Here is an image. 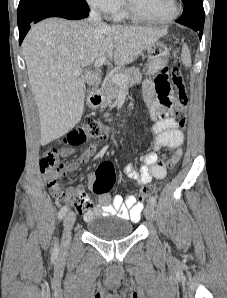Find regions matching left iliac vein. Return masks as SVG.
Segmentation results:
<instances>
[{
    "label": "left iliac vein",
    "instance_id": "4c4485c4",
    "mask_svg": "<svg viewBox=\"0 0 227 298\" xmlns=\"http://www.w3.org/2000/svg\"><path fill=\"white\" fill-rule=\"evenodd\" d=\"M144 215L148 221H154L155 218V210L154 206L151 203H148L144 210Z\"/></svg>",
    "mask_w": 227,
    "mask_h": 298
}]
</instances>
